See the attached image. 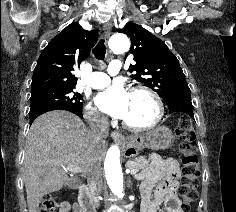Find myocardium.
<instances>
[{"mask_svg":"<svg viewBox=\"0 0 236 212\" xmlns=\"http://www.w3.org/2000/svg\"><path fill=\"white\" fill-rule=\"evenodd\" d=\"M136 92L147 95L154 102L155 107H156L155 117L150 123L143 126H134V125L129 124L125 120L122 121V125L125 129L133 133L147 132L155 128L162 120L163 115H164V105L160 96L155 91L148 88L147 86L135 85L130 88V93H136Z\"/></svg>","mask_w":236,"mask_h":212,"instance_id":"1","label":"myocardium"}]
</instances>
